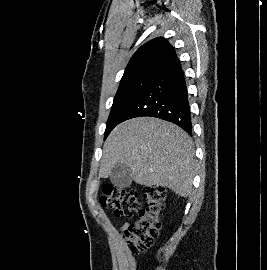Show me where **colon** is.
Segmentation results:
<instances>
[{"instance_id":"colon-1","label":"colon","mask_w":267,"mask_h":270,"mask_svg":"<svg viewBox=\"0 0 267 270\" xmlns=\"http://www.w3.org/2000/svg\"><path fill=\"white\" fill-rule=\"evenodd\" d=\"M165 199L166 191L162 187H145L140 196L137 191L111 184L103 185L99 198L101 205L117 216L138 212L137 219L123 229V239L134 255L145 252L154 244L161 228Z\"/></svg>"}]
</instances>
